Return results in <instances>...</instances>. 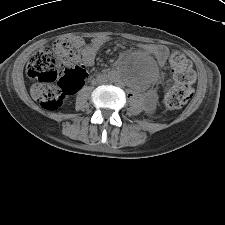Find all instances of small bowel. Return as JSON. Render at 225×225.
Here are the masks:
<instances>
[{"label": "small bowel", "mask_w": 225, "mask_h": 225, "mask_svg": "<svg viewBox=\"0 0 225 225\" xmlns=\"http://www.w3.org/2000/svg\"><path fill=\"white\" fill-rule=\"evenodd\" d=\"M106 43V37L94 38L91 43L87 44L82 51V63L86 66H92L94 64L97 53ZM144 49L155 57L159 65L164 64L168 57V48L164 45L150 44L145 45ZM151 96L153 95L151 94Z\"/></svg>", "instance_id": "obj_1"}]
</instances>
